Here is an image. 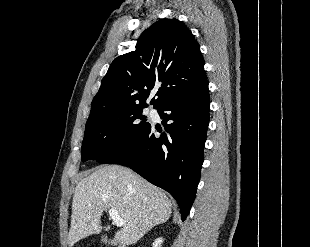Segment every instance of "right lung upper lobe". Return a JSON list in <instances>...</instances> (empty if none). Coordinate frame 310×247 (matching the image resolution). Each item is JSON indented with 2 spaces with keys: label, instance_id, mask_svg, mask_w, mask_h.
Wrapping results in <instances>:
<instances>
[{
  "label": "right lung upper lobe",
  "instance_id": "1",
  "mask_svg": "<svg viewBox=\"0 0 310 247\" xmlns=\"http://www.w3.org/2000/svg\"><path fill=\"white\" fill-rule=\"evenodd\" d=\"M207 80L204 59L191 31L177 19H161L146 29L135 51L117 57L92 101L88 121L100 116L146 107L158 109L174 96L193 90Z\"/></svg>",
  "mask_w": 310,
  "mask_h": 247
}]
</instances>
